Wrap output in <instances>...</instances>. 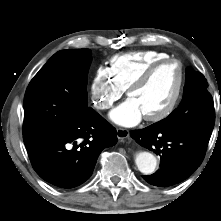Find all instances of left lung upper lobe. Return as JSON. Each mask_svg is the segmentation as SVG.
<instances>
[{
	"label": "left lung upper lobe",
	"instance_id": "left-lung-upper-lobe-1",
	"mask_svg": "<svg viewBox=\"0 0 221 221\" xmlns=\"http://www.w3.org/2000/svg\"><path fill=\"white\" fill-rule=\"evenodd\" d=\"M205 77L191 68L187 69L183 99L167 118L155 123L165 131L199 129L212 132L215 123L214 103L207 91Z\"/></svg>",
	"mask_w": 221,
	"mask_h": 221
}]
</instances>
